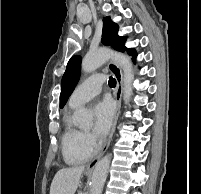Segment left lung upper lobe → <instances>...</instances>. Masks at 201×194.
<instances>
[{"instance_id": "obj_1", "label": "left lung upper lobe", "mask_w": 201, "mask_h": 194, "mask_svg": "<svg viewBox=\"0 0 201 194\" xmlns=\"http://www.w3.org/2000/svg\"><path fill=\"white\" fill-rule=\"evenodd\" d=\"M118 25L114 23L110 17L103 19V32H102V43L107 46L113 47L115 50L124 52L127 50L129 53L130 49L124 46L126 41L125 37L118 35ZM80 66L81 57L73 56L66 67V71L63 75L61 82V95H60V108H63L66 104L68 97L73 92L79 77H80Z\"/></svg>"}]
</instances>
